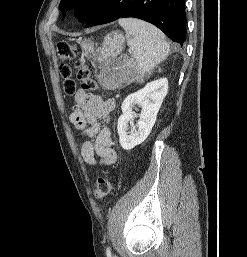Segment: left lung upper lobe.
I'll return each instance as SVG.
<instances>
[{
  "label": "left lung upper lobe",
  "instance_id": "5c2ea615",
  "mask_svg": "<svg viewBox=\"0 0 247 257\" xmlns=\"http://www.w3.org/2000/svg\"><path fill=\"white\" fill-rule=\"evenodd\" d=\"M102 0H61L59 9L66 14L68 9L75 7V13L80 22L89 18Z\"/></svg>",
  "mask_w": 247,
  "mask_h": 257
}]
</instances>
